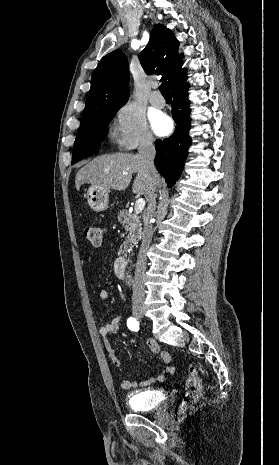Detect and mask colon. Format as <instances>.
I'll return each mask as SVG.
<instances>
[{
    "instance_id": "obj_1",
    "label": "colon",
    "mask_w": 279,
    "mask_h": 465,
    "mask_svg": "<svg viewBox=\"0 0 279 465\" xmlns=\"http://www.w3.org/2000/svg\"><path fill=\"white\" fill-rule=\"evenodd\" d=\"M85 236L93 246L98 247L102 244L104 229L103 227L97 225L89 226L85 230ZM201 391V378L198 374L196 366L191 365L188 368V376L185 382V393L181 412H184L190 405L199 399Z\"/></svg>"
}]
</instances>
